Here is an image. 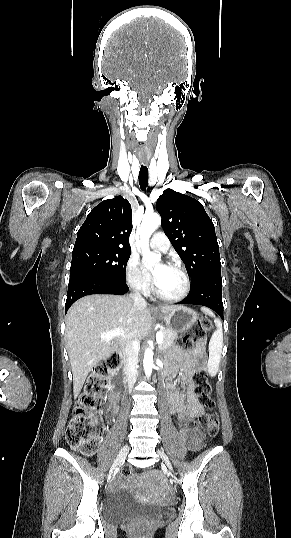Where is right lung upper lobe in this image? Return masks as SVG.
Segmentation results:
<instances>
[{
    "label": "right lung upper lobe",
    "mask_w": 291,
    "mask_h": 538,
    "mask_svg": "<svg viewBox=\"0 0 291 538\" xmlns=\"http://www.w3.org/2000/svg\"><path fill=\"white\" fill-rule=\"evenodd\" d=\"M132 209L122 196L104 200L87 216L77 233L73 250L91 246L130 249Z\"/></svg>",
    "instance_id": "right-lung-upper-lobe-1"
}]
</instances>
